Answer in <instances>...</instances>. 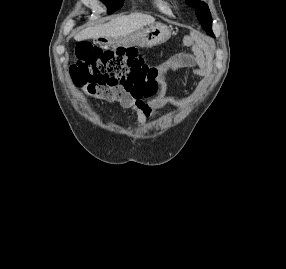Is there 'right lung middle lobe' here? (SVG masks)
Returning a JSON list of instances; mask_svg holds the SVG:
<instances>
[{
	"mask_svg": "<svg viewBox=\"0 0 286 269\" xmlns=\"http://www.w3.org/2000/svg\"><path fill=\"white\" fill-rule=\"evenodd\" d=\"M124 0H104V3L107 4L108 7L117 10L121 7ZM110 13V11H108Z\"/></svg>",
	"mask_w": 286,
	"mask_h": 269,
	"instance_id": "1",
	"label": "right lung middle lobe"
}]
</instances>
